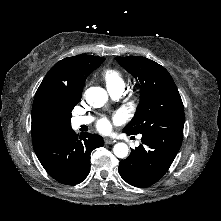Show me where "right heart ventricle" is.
I'll return each mask as SVG.
<instances>
[{"instance_id":"1","label":"right heart ventricle","mask_w":221,"mask_h":221,"mask_svg":"<svg viewBox=\"0 0 221 221\" xmlns=\"http://www.w3.org/2000/svg\"><path fill=\"white\" fill-rule=\"evenodd\" d=\"M102 78L108 89L125 85L123 75L117 69H112V68L105 69L102 72Z\"/></svg>"}]
</instances>
